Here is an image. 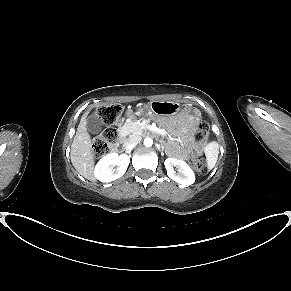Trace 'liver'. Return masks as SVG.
<instances>
[{
	"mask_svg": "<svg viewBox=\"0 0 291 291\" xmlns=\"http://www.w3.org/2000/svg\"><path fill=\"white\" fill-rule=\"evenodd\" d=\"M86 114L82 116L71 145V162L76 171L84 178L94 181V156L91 137L87 132Z\"/></svg>",
	"mask_w": 291,
	"mask_h": 291,
	"instance_id": "6515ba94",
	"label": "liver"
}]
</instances>
